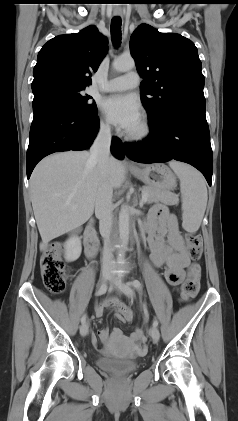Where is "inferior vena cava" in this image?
I'll use <instances>...</instances> for the list:
<instances>
[{
    "instance_id": "inferior-vena-cava-1",
    "label": "inferior vena cava",
    "mask_w": 238,
    "mask_h": 421,
    "mask_svg": "<svg viewBox=\"0 0 238 421\" xmlns=\"http://www.w3.org/2000/svg\"><path fill=\"white\" fill-rule=\"evenodd\" d=\"M111 146V130L108 125H103L95 138L91 148L89 162L97 165L102 181L95 200V215L99 219L100 234L104 238L103 252L104 264H110L113 259L109 237L112 230V187L106 182L109 172V158Z\"/></svg>"
}]
</instances>
